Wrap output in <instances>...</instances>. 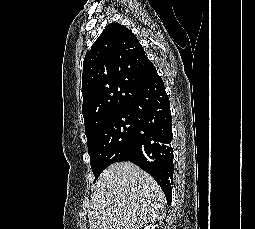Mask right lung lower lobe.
<instances>
[{
	"mask_svg": "<svg viewBox=\"0 0 255 229\" xmlns=\"http://www.w3.org/2000/svg\"><path fill=\"white\" fill-rule=\"evenodd\" d=\"M136 123L127 161L149 173L162 188L167 204L172 201V118L163 80L155 70L140 83L138 91L122 110Z\"/></svg>",
	"mask_w": 255,
	"mask_h": 229,
	"instance_id": "98d812e1",
	"label": "right lung lower lobe"
}]
</instances>
